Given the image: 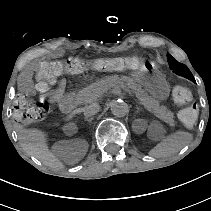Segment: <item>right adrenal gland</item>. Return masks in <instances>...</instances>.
Wrapping results in <instances>:
<instances>
[{
  "label": "right adrenal gland",
  "instance_id": "obj_1",
  "mask_svg": "<svg viewBox=\"0 0 211 211\" xmlns=\"http://www.w3.org/2000/svg\"><path fill=\"white\" fill-rule=\"evenodd\" d=\"M92 120H93V118H88V117H85V121H87V122H89V123H91V122H92Z\"/></svg>",
  "mask_w": 211,
  "mask_h": 211
}]
</instances>
